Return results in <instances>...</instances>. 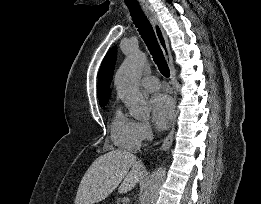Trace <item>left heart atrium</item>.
<instances>
[{"mask_svg":"<svg viewBox=\"0 0 261 204\" xmlns=\"http://www.w3.org/2000/svg\"><path fill=\"white\" fill-rule=\"evenodd\" d=\"M152 120L159 129H166L174 115V104L166 94H156L150 100Z\"/></svg>","mask_w":261,"mask_h":204,"instance_id":"obj_1","label":"left heart atrium"}]
</instances>
